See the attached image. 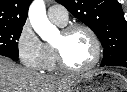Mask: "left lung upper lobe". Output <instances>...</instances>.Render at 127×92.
Masks as SVG:
<instances>
[{
	"mask_svg": "<svg viewBox=\"0 0 127 92\" xmlns=\"http://www.w3.org/2000/svg\"><path fill=\"white\" fill-rule=\"evenodd\" d=\"M98 36L108 59L127 50V22L117 0H56Z\"/></svg>",
	"mask_w": 127,
	"mask_h": 92,
	"instance_id": "left-lung-upper-lobe-1",
	"label": "left lung upper lobe"
}]
</instances>
